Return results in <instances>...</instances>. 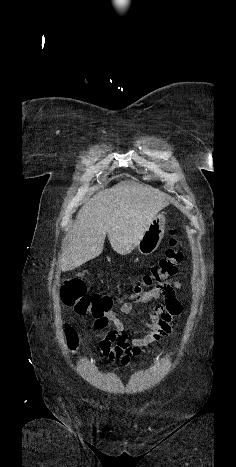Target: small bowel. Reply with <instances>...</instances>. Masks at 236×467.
Masks as SVG:
<instances>
[{"label":"small bowel","mask_w":236,"mask_h":467,"mask_svg":"<svg viewBox=\"0 0 236 467\" xmlns=\"http://www.w3.org/2000/svg\"><path fill=\"white\" fill-rule=\"evenodd\" d=\"M180 289V282L174 280L160 289L144 292L141 295H131L130 300L122 304L121 311L130 315L133 312V302L152 303L160 296L164 298V303L153 305L146 328L141 331V337L129 339L123 321L113 312L96 317L93 322L95 330L101 331L109 325L113 326V329L106 332L100 341L102 355L111 363L118 361L122 365H127L130 358L139 355L143 348L170 336L174 328V319L183 312L179 301ZM112 343H116L113 348Z\"/></svg>","instance_id":"small-bowel-1"}]
</instances>
